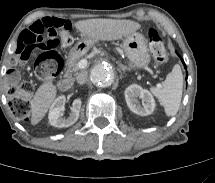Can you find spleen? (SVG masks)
Instances as JSON below:
<instances>
[{
  "instance_id": "3e777b00",
  "label": "spleen",
  "mask_w": 215,
  "mask_h": 183,
  "mask_svg": "<svg viewBox=\"0 0 215 183\" xmlns=\"http://www.w3.org/2000/svg\"><path fill=\"white\" fill-rule=\"evenodd\" d=\"M183 88V75L180 65L176 64L166 76L162 87H151L152 94L162 103L167 116L175 115L180 107Z\"/></svg>"
}]
</instances>
